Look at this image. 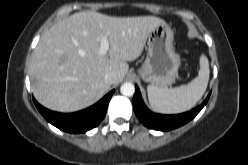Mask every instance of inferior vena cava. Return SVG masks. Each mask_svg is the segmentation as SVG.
<instances>
[{
	"mask_svg": "<svg viewBox=\"0 0 248 165\" xmlns=\"http://www.w3.org/2000/svg\"><path fill=\"white\" fill-rule=\"evenodd\" d=\"M116 78H117V76H116L115 72H108V73L105 74V77H104L105 82L108 83V84L115 83Z\"/></svg>",
	"mask_w": 248,
	"mask_h": 165,
	"instance_id": "obj_1",
	"label": "inferior vena cava"
}]
</instances>
